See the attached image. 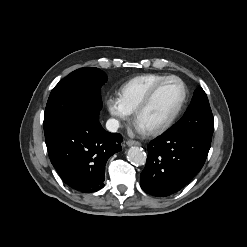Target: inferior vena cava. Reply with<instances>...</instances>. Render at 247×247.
I'll list each match as a JSON object with an SVG mask.
<instances>
[{
    "label": "inferior vena cava",
    "mask_w": 247,
    "mask_h": 247,
    "mask_svg": "<svg viewBox=\"0 0 247 247\" xmlns=\"http://www.w3.org/2000/svg\"><path fill=\"white\" fill-rule=\"evenodd\" d=\"M106 128L110 132H116L119 128V121L116 119H109L106 122Z\"/></svg>",
    "instance_id": "inferior-vena-cava-1"
}]
</instances>
